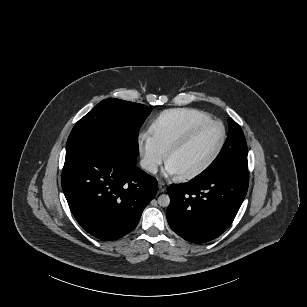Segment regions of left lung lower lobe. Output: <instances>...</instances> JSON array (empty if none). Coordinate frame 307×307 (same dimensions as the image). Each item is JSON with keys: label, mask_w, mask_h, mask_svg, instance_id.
<instances>
[{"label": "left lung lower lobe", "mask_w": 307, "mask_h": 307, "mask_svg": "<svg viewBox=\"0 0 307 307\" xmlns=\"http://www.w3.org/2000/svg\"><path fill=\"white\" fill-rule=\"evenodd\" d=\"M248 173L218 171L168 188L167 220L187 241L203 243L221 235L234 220L247 193Z\"/></svg>", "instance_id": "1"}]
</instances>
